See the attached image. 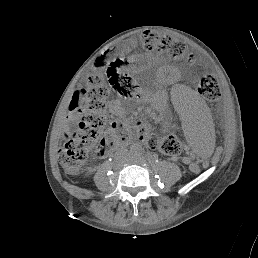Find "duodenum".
Wrapping results in <instances>:
<instances>
[{
    "label": "duodenum",
    "mask_w": 258,
    "mask_h": 258,
    "mask_svg": "<svg viewBox=\"0 0 258 258\" xmlns=\"http://www.w3.org/2000/svg\"><path fill=\"white\" fill-rule=\"evenodd\" d=\"M117 147H118V149H117V151H119V150H121L123 147H124V145L122 144V145H120V143L117 145Z\"/></svg>",
    "instance_id": "410a0bca"
}]
</instances>
